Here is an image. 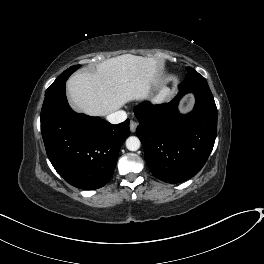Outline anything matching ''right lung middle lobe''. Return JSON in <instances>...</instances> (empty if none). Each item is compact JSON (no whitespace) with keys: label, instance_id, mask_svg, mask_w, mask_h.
Masks as SVG:
<instances>
[{"label":"right lung middle lobe","instance_id":"obj_1","mask_svg":"<svg viewBox=\"0 0 264 264\" xmlns=\"http://www.w3.org/2000/svg\"><path fill=\"white\" fill-rule=\"evenodd\" d=\"M79 67H80V65H74V66H71L70 68H68L67 70H65L61 75H59V77L47 89L46 93L52 91L53 89H55V88L59 87L60 85H62L63 83H65L66 80L68 79V77L74 71H76Z\"/></svg>","mask_w":264,"mask_h":264}]
</instances>
